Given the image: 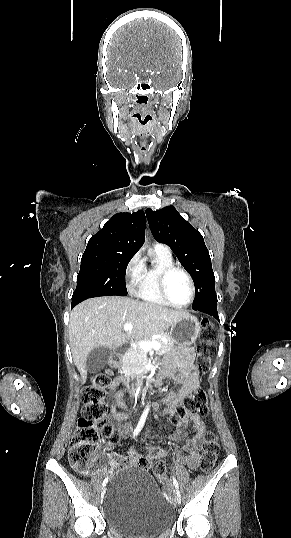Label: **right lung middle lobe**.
Here are the masks:
<instances>
[{
	"mask_svg": "<svg viewBox=\"0 0 291 538\" xmlns=\"http://www.w3.org/2000/svg\"><path fill=\"white\" fill-rule=\"evenodd\" d=\"M133 255L88 252L81 259L72 303L98 296H126V268Z\"/></svg>",
	"mask_w": 291,
	"mask_h": 538,
	"instance_id": "dd1d6c3e",
	"label": "right lung middle lobe"
}]
</instances>
